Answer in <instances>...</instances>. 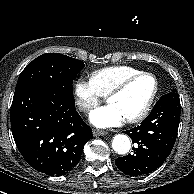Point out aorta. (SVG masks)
I'll return each instance as SVG.
<instances>
[{
  "label": "aorta",
  "mask_w": 194,
  "mask_h": 194,
  "mask_svg": "<svg viewBox=\"0 0 194 194\" xmlns=\"http://www.w3.org/2000/svg\"><path fill=\"white\" fill-rule=\"evenodd\" d=\"M112 148L118 154H126L131 148V142L127 135L117 134L114 136L112 141Z\"/></svg>",
  "instance_id": "1"
}]
</instances>
